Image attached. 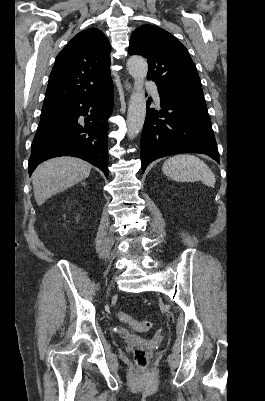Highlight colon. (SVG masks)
<instances>
[{
    "label": "colon",
    "mask_w": 265,
    "mask_h": 401,
    "mask_svg": "<svg viewBox=\"0 0 265 401\" xmlns=\"http://www.w3.org/2000/svg\"><path fill=\"white\" fill-rule=\"evenodd\" d=\"M118 319L130 325L133 329L140 331V332H145L151 329L152 323L150 321L144 320V321H135L133 320L128 314L124 312L118 313ZM133 358L135 365L137 366L138 369L143 370L146 368L148 364V354L146 350L143 347H137L135 348L133 352Z\"/></svg>",
    "instance_id": "1"
}]
</instances>
